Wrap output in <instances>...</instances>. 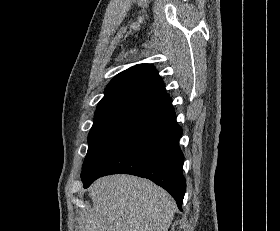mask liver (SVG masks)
<instances>
[{"label": "liver", "instance_id": "liver-1", "mask_svg": "<svg viewBox=\"0 0 280 231\" xmlns=\"http://www.w3.org/2000/svg\"><path fill=\"white\" fill-rule=\"evenodd\" d=\"M93 207L80 213L81 231H168L175 201L150 179L100 177L88 187Z\"/></svg>", "mask_w": 280, "mask_h": 231}]
</instances>
